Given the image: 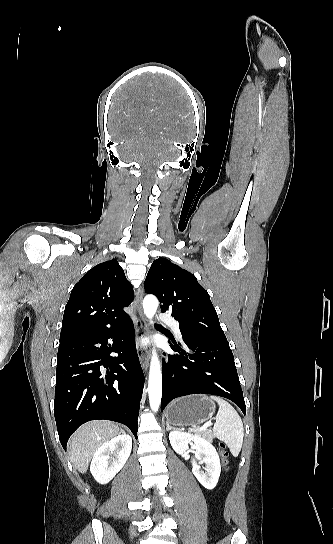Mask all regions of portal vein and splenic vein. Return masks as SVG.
<instances>
[{
  "label": "portal vein and splenic vein",
  "mask_w": 333,
  "mask_h": 544,
  "mask_svg": "<svg viewBox=\"0 0 333 544\" xmlns=\"http://www.w3.org/2000/svg\"><path fill=\"white\" fill-rule=\"evenodd\" d=\"M211 425L210 422H206L203 426L199 427L196 431H203Z\"/></svg>",
  "instance_id": "1"
}]
</instances>
